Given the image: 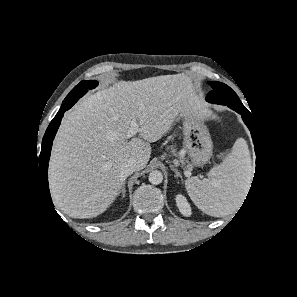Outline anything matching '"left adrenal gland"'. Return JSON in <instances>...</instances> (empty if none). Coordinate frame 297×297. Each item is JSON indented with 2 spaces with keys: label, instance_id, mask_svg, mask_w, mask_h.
I'll return each instance as SVG.
<instances>
[{
  "label": "left adrenal gland",
  "instance_id": "obj_1",
  "mask_svg": "<svg viewBox=\"0 0 297 297\" xmlns=\"http://www.w3.org/2000/svg\"><path fill=\"white\" fill-rule=\"evenodd\" d=\"M170 168L172 171L175 172V177H179L181 179V181L184 182V179H183L182 175L180 174V172L178 171V169L174 168V165H170Z\"/></svg>",
  "mask_w": 297,
  "mask_h": 297
}]
</instances>
